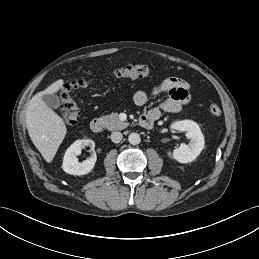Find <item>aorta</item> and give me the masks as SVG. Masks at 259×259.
Segmentation results:
<instances>
[{"label":"aorta","instance_id":"1","mask_svg":"<svg viewBox=\"0 0 259 259\" xmlns=\"http://www.w3.org/2000/svg\"><path fill=\"white\" fill-rule=\"evenodd\" d=\"M128 141L130 144L132 145H137L140 143L141 141V137L138 133H131L129 136H128Z\"/></svg>","mask_w":259,"mask_h":259}]
</instances>
